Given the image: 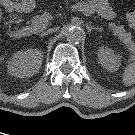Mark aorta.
<instances>
[{
    "label": "aorta",
    "mask_w": 135,
    "mask_h": 135,
    "mask_svg": "<svg viewBox=\"0 0 135 135\" xmlns=\"http://www.w3.org/2000/svg\"><path fill=\"white\" fill-rule=\"evenodd\" d=\"M68 41L73 43H79L84 38V32L80 27L69 26L65 32Z\"/></svg>",
    "instance_id": "1"
}]
</instances>
